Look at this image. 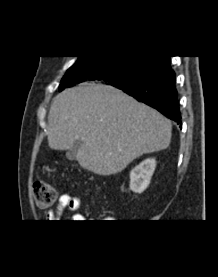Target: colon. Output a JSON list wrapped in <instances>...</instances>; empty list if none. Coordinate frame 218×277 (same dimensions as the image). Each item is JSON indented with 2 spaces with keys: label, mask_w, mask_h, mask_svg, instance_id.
I'll return each mask as SVG.
<instances>
[{
  "label": "colon",
  "mask_w": 218,
  "mask_h": 277,
  "mask_svg": "<svg viewBox=\"0 0 218 277\" xmlns=\"http://www.w3.org/2000/svg\"><path fill=\"white\" fill-rule=\"evenodd\" d=\"M33 195L39 208H48L54 204L57 191L52 184L45 181H37L33 185Z\"/></svg>",
  "instance_id": "5ec220e1"
}]
</instances>
